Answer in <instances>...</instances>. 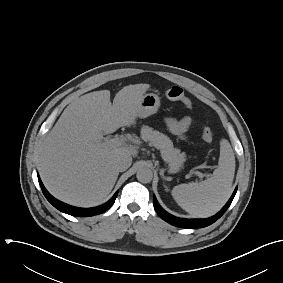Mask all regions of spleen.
I'll list each match as a JSON object with an SVG mask.
<instances>
[{
	"mask_svg": "<svg viewBox=\"0 0 283 283\" xmlns=\"http://www.w3.org/2000/svg\"><path fill=\"white\" fill-rule=\"evenodd\" d=\"M235 174V156L226 139L220 141L218 167L203 182L180 184L172 189L177 204L191 215L208 217L218 212L229 199Z\"/></svg>",
	"mask_w": 283,
	"mask_h": 283,
	"instance_id": "spleen-1",
	"label": "spleen"
}]
</instances>
